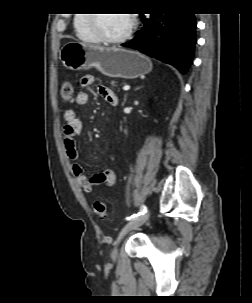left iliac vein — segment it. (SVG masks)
Wrapping results in <instances>:
<instances>
[{
    "instance_id": "obj_1",
    "label": "left iliac vein",
    "mask_w": 252,
    "mask_h": 303,
    "mask_svg": "<svg viewBox=\"0 0 252 303\" xmlns=\"http://www.w3.org/2000/svg\"><path fill=\"white\" fill-rule=\"evenodd\" d=\"M149 211H147L146 213L132 219L131 221H129L121 230L118 240L115 243L114 249L112 251V258L116 259L117 255H118V244L120 243L121 239L131 230L137 229L140 226H142L149 218Z\"/></svg>"
}]
</instances>
